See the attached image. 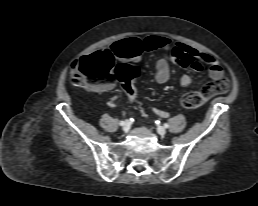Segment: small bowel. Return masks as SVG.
<instances>
[{"instance_id": "obj_1", "label": "small bowel", "mask_w": 258, "mask_h": 206, "mask_svg": "<svg viewBox=\"0 0 258 206\" xmlns=\"http://www.w3.org/2000/svg\"><path fill=\"white\" fill-rule=\"evenodd\" d=\"M156 50L169 51L170 58L176 64L182 67H188L193 71L200 72L205 66L208 67V74L211 79L217 81L222 79L224 71L219 61L206 53L200 52L190 45L185 43L172 41L164 36L146 35L143 38L128 37L115 42L110 48L103 49L100 52H106L113 57L121 59L134 58L142 52H153ZM170 78V63L169 59L162 56L156 63L155 80L159 84L166 83ZM191 78L188 75H183L179 79V85L186 88L190 85ZM112 89L111 84L102 87V90ZM158 114L161 117H166V112L160 111Z\"/></svg>"}]
</instances>
